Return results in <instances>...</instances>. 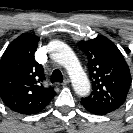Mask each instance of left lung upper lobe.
Returning a JSON list of instances; mask_svg holds the SVG:
<instances>
[{
    "instance_id": "left-lung-upper-lobe-1",
    "label": "left lung upper lobe",
    "mask_w": 133,
    "mask_h": 133,
    "mask_svg": "<svg viewBox=\"0 0 133 133\" xmlns=\"http://www.w3.org/2000/svg\"><path fill=\"white\" fill-rule=\"evenodd\" d=\"M78 45L88 57L92 80V92L82 98V105L103 113L118 109L131 85L130 70L121 52L104 36L81 41Z\"/></svg>"
}]
</instances>
